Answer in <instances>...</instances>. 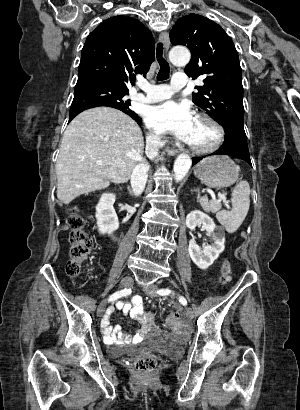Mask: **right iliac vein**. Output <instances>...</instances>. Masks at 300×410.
Wrapping results in <instances>:
<instances>
[{
	"label": "right iliac vein",
	"mask_w": 300,
	"mask_h": 410,
	"mask_svg": "<svg viewBox=\"0 0 300 410\" xmlns=\"http://www.w3.org/2000/svg\"><path fill=\"white\" fill-rule=\"evenodd\" d=\"M133 284H134L133 278L130 277V276H127V277H125V278H123V279L121 280V282H120V287H122V288H129V287H131ZM105 309H106V301H103V302H101L100 305L98 306L97 315H98L99 317H101V316L104 314Z\"/></svg>",
	"instance_id": "63e3f726"
}]
</instances>
